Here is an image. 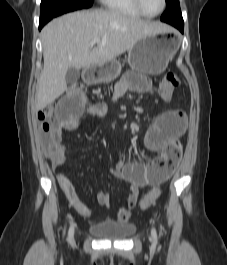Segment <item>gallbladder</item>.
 I'll return each instance as SVG.
<instances>
[{"label":"gallbladder","instance_id":"obj_1","mask_svg":"<svg viewBox=\"0 0 227 265\" xmlns=\"http://www.w3.org/2000/svg\"><path fill=\"white\" fill-rule=\"evenodd\" d=\"M80 78V71L76 68H69L66 73V82L67 84H74Z\"/></svg>","mask_w":227,"mask_h":265}]
</instances>
